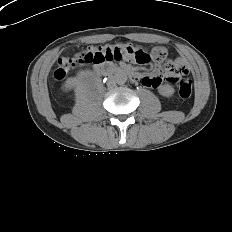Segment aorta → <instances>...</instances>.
<instances>
[{
    "label": "aorta",
    "instance_id": "obj_1",
    "mask_svg": "<svg viewBox=\"0 0 232 232\" xmlns=\"http://www.w3.org/2000/svg\"><path fill=\"white\" fill-rule=\"evenodd\" d=\"M114 81L118 85L125 84L127 81V75L124 72H119L114 76Z\"/></svg>",
    "mask_w": 232,
    "mask_h": 232
}]
</instances>
